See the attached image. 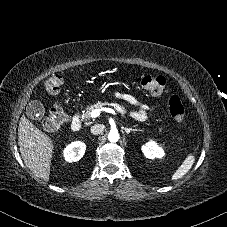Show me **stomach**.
Masks as SVG:
<instances>
[{"instance_id": "stomach-1", "label": "stomach", "mask_w": 227, "mask_h": 227, "mask_svg": "<svg viewBox=\"0 0 227 227\" xmlns=\"http://www.w3.org/2000/svg\"><path fill=\"white\" fill-rule=\"evenodd\" d=\"M107 79L108 80H112V76H107Z\"/></svg>"}]
</instances>
